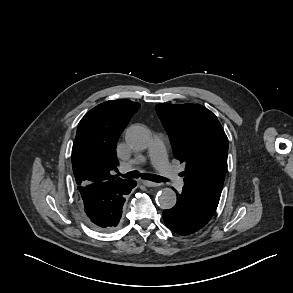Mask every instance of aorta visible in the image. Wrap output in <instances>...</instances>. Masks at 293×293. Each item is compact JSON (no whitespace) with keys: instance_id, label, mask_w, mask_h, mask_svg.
Here are the masks:
<instances>
[{"instance_id":"aorta-1","label":"aorta","mask_w":293,"mask_h":293,"mask_svg":"<svg viewBox=\"0 0 293 293\" xmlns=\"http://www.w3.org/2000/svg\"><path fill=\"white\" fill-rule=\"evenodd\" d=\"M150 139L149 131L140 125L131 126L126 132V142L135 150L147 148ZM156 200L162 209H171L176 204V193L171 188H163L157 193Z\"/></svg>"}]
</instances>
